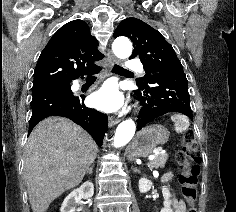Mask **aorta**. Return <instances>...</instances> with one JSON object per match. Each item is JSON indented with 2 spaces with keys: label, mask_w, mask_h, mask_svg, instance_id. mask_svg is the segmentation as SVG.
Segmentation results:
<instances>
[{
  "label": "aorta",
  "mask_w": 236,
  "mask_h": 212,
  "mask_svg": "<svg viewBox=\"0 0 236 212\" xmlns=\"http://www.w3.org/2000/svg\"><path fill=\"white\" fill-rule=\"evenodd\" d=\"M113 52L120 59L128 58L132 53V44L126 37L117 38L112 45ZM136 130L135 122L131 119L121 122L115 132L113 144L119 148L126 145L134 136Z\"/></svg>",
  "instance_id": "aorta-1"
}]
</instances>
